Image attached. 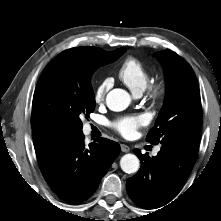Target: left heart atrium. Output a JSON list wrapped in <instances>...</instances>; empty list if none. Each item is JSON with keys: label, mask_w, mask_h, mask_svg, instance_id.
Returning <instances> with one entry per match:
<instances>
[{"label": "left heart atrium", "mask_w": 221, "mask_h": 221, "mask_svg": "<svg viewBox=\"0 0 221 221\" xmlns=\"http://www.w3.org/2000/svg\"><path fill=\"white\" fill-rule=\"evenodd\" d=\"M147 124V118L143 115L126 116L116 120L113 127L124 137H132L136 131Z\"/></svg>", "instance_id": "obj_1"}]
</instances>
